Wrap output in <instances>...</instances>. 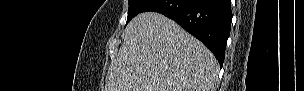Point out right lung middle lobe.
<instances>
[{
	"instance_id": "right-lung-middle-lobe-1",
	"label": "right lung middle lobe",
	"mask_w": 304,
	"mask_h": 91,
	"mask_svg": "<svg viewBox=\"0 0 304 91\" xmlns=\"http://www.w3.org/2000/svg\"><path fill=\"white\" fill-rule=\"evenodd\" d=\"M151 0H129V9L127 23L135 17L137 14L141 13L142 9L150 2ZM126 23V24H127Z\"/></svg>"
}]
</instances>
